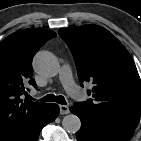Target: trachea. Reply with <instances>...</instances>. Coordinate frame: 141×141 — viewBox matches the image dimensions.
I'll list each match as a JSON object with an SVG mask.
<instances>
[{
	"instance_id": "trachea-1",
	"label": "trachea",
	"mask_w": 141,
	"mask_h": 141,
	"mask_svg": "<svg viewBox=\"0 0 141 141\" xmlns=\"http://www.w3.org/2000/svg\"><path fill=\"white\" fill-rule=\"evenodd\" d=\"M32 99V98H31ZM43 102H56L59 104H66V100L63 96H55L54 94H48L41 99Z\"/></svg>"
}]
</instances>
